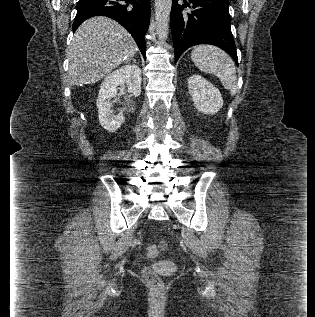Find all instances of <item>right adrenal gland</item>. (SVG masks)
Listing matches in <instances>:
<instances>
[{
  "label": "right adrenal gland",
  "instance_id": "right-adrenal-gland-1",
  "mask_svg": "<svg viewBox=\"0 0 315 317\" xmlns=\"http://www.w3.org/2000/svg\"><path fill=\"white\" fill-rule=\"evenodd\" d=\"M128 60H132V61H134V63H137V61L135 60L134 56L129 57Z\"/></svg>",
  "mask_w": 315,
  "mask_h": 317
}]
</instances>
